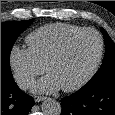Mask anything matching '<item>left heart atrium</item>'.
Wrapping results in <instances>:
<instances>
[{
  "instance_id": "39dd6f15",
  "label": "left heart atrium",
  "mask_w": 115,
  "mask_h": 115,
  "mask_svg": "<svg viewBox=\"0 0 115 115\" xmlns=\"http://www.w3.org/2000/svg\"><path fill=\"white\" fill-rule=\"evenodd\" d=\"M60 88L61 86L57 80L50 74H47L35 85L34 90L42 93H53Z\"/></svg>"
}]
</instances>
